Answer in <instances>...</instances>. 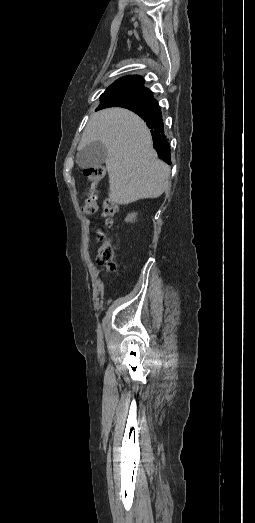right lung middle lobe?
I'll return each instance as SVG.
<instances>
[{
	"mask_svg": "<svg viewBox=\"0 0 255 523\" xmlns=\"http://www.w3.org/2000/svg\"><path fill=\"white\" fill-rule=\"evenodd\" d=\"M104 98L119 102H143L147 99L146 92L142 90H127L120 92H108Z\"/></svg>",
	"mask_w": 255,
	"mask_h": 523,
	"instance_id": "obj_1",
	"label": "right lung middle lobe"
}]
</instances>
